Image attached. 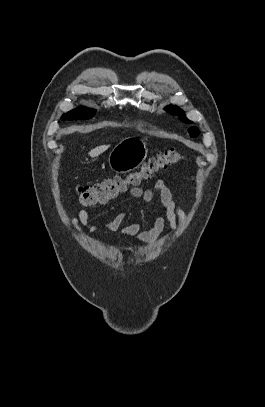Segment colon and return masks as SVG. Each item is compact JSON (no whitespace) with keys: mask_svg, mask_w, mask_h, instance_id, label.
Listing matches in <instances>:
<instances>
[{"mask_svg":"<svg viewBox=\"0 0 265 407\" xmlns=\"http://www.w3.org/2000/svg\"><path fill=\"white\" fill-rule=\"evenodd\" d=\"M183 159V155L173 148L162 150L144 162L137 171L126 176H113L92 185L78 186L76 188L77 200L85 207L107 203L130 187L151 179L159 171L178 164Z\"/></svg>","mask_w":265,"mask_h":407,"instance_id":"1","label":"colon"}]
</instances>
